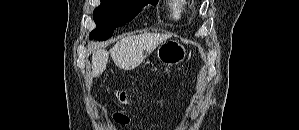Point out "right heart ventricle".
<instances>
[{
	"label": "right heart ventricle",
	"mask_w": 299,
	"mask_h": 130,
	"mask_svg": "<svg viewBox=\"0 0 299 130\" xmlns=\"http://www.w3.org/2000/svg\"><path fill=\"white\" fill-rule=\"evenodd\" d=\"M166 10L171 20L179 21L183 18L185 12L187 11L186 1L184 0L168 1Z\"/></svg>",
	"instance_id": "1"
}]
</instances>
